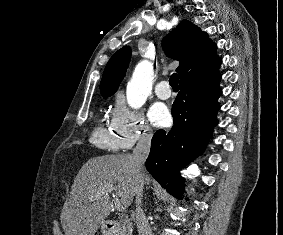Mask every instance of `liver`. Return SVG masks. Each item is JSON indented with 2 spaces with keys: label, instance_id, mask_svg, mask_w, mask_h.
<instances>
[{
  "label": "liver",
  "instance_id": "liver-1",
  "mask_svg": "<svg viewBox=\"0 0 283 235\" xmlns=\"http://www.w3.org/2000/svg\"><path fill=\"white\" fill-rule=\"evenodd\" d=\"M130 156H98L82 166L60 216L65 235H95L110 214V197L106 192V187L110 185H113L123 206L131 205L137 182ZM149 181V176L144 172L143 184Z\"/></svg>",
  "mask_w": 283,
  "mask_h": 235
}]
</instances>
